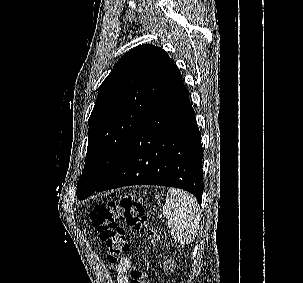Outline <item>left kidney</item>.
<instances>
[{
  "mask_svg": "<svg viewBox=\"0 0 303 283\" xmlns=\"http://www.w3.org/2000/svg\"><path fill=\"white\" fill-rule=\"evenodd\" d=\"M169 266H173V264H171V263H170V265H169Z\"/></svg>",
  "mask_w": 303,
  "mask_h": 283,
  "instance_id": "1",
  "label": "left kidney"
}]
</instances>
